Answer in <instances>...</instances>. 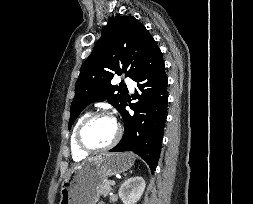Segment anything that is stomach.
Listing matches in <instances>:
<instances>
[{
  "label": "stomach",
  "mask_w": 253,
  "mask_h": 204,
  "mask_svg": "<svg viewBox=\"0 0 253 204\" xmlns=\"http://www.w3.org/2000/svg\"><path fill=\"white\" fill-rule=\"evenodd\" d=\"M133 163L134 157L129 153H103L86 160L64 179L59 204H97L99 185L127 171Z\"/></svg>",
  "instance_id": "1"
}]
</instances>
